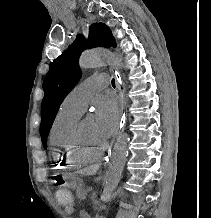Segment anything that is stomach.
<instances>
[{"mask_svg":"<svg viewBox=\"0 0 211 218\" xmlns=\"http://www.w3.org/2000/svg\"><path fill=\"white\" fill-rule=\"evenodd\" d=\"M63 178L65 181L64 185L71 189H76L82 184L81 179L75 174H67Z\"/></svg>","mask_w":211,"mask_h":218,"instance_id":"1","label":"stomach"}]
</instances>
